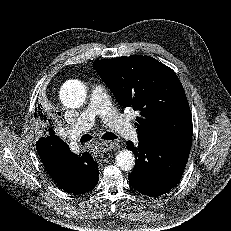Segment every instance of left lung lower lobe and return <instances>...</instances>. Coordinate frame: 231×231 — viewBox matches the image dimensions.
Wrapping results in <instances>:
<instances>
[{
	"instance_id": "1",
	"label": "left lung lower lobe",
	"mask_w": 231,
	"mask_h": 231,
	"mask_svg": "<svg viewBox=\"0 0 231 231\" xmlns=\"http://www.w3.org/2000/svg\"><path fill=\"white\" fill-rule=\"evenodd\" d=\"M127 149L136 157L129 175L131 186L138 192L157 197L170 191L180 180L189 152L172 150L156 142H127Z\"/></svg>"
}]
</instances>
